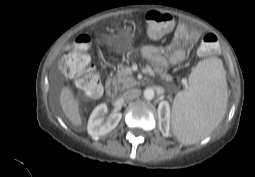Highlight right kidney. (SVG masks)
Returning <instances> with one entry per match:
<instances>
[{
	"instance_id": "ca27d5eb",
	"label": "right kidney",
	"mask_w": 255,
	"mask_h": 177,
	"mask_svg": "<svg viewBox=\"0 0 255 177\" xmlns=\"http://www.w3.org/2000/svg\"><path fill=\"white\" fill-rule=\"evenodd\" d=\"M107 105L100 104L98 105L90 115L87 130L88 134L92 138H98L100 136L106 135L110 131H112L118 125L119 121L122 118V114L119 112H112L104 122V116L107 113Z\"/></svg>"
}]
</instances>
